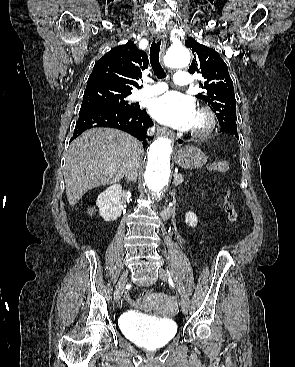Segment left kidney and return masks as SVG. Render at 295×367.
<instances>
[{
    "label": "left kidney",
    "mask_w": 295,
    "mask_h": 367,
    "mask_svg": "<svg viewBox=\"0 0 295 367\" xmlns=\"http://www.w3.org/2000/svg\"><path fill=\"white\" fill-rule=\"evenodd\" d=\"M185 223L190 227L197 226L198 220L196 214L191 211L187 212L185 214Z\"/></svg>",
    "instance_id": "obj_1"
}]
</instances>
